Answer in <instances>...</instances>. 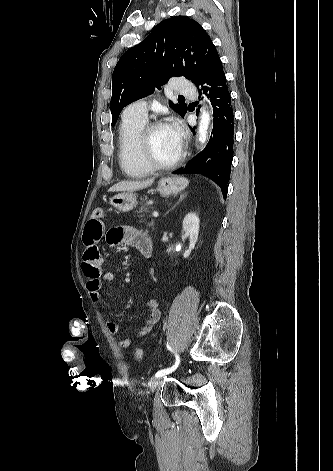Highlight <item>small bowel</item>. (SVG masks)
I'll list each match as a JSON object with an SVG mask.
<instances>
[{
	"label": "small bowel",
	"instance_id": "obj_1",
	"mask_svg": "<svg viewBox=\"0 0 333 471\" xmlns=\"http://www.w3.org/2000/svg\"><path fill=\"white\" fill-rule=\"evenodd\" d=\"M101 218L90 217L85 224L83 234L85 251L82 270L88 277L87 289L93 302L101 301L103 284L112 283L115 280V274L112 271L103 270V258L98 248L99 242L105 239L110 246L127 245L140 250L143 241L148 238L146 233L131 226H118L106 230ZM147 304L150 314L145 325L138 332L139 337L148 334L161 317L158 297L150 298ZM106 327L112 334L119 333V326L113 321H106ZM119 345L122 348H128L131 345V339L123 338Z\"/></svg>",
	"mask_w": 333,
	"mask_h": 471
}]
</instances>
